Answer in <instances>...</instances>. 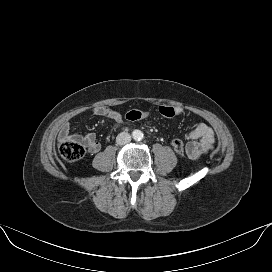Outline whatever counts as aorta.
I'll list each match as a JSON object with an SVG mask.
<instances>
[{
  "label": "aorta",
  "mask_w": 272,
  "mask_h": 272,
  "mask_svg": "<svg viewBox=\"0 0 272 272\" xmlns=\"http://www.w3.org/2000/svg\"><path fill=\"white\" fill-rule=\"evenodd\" d=\"M132 137L135 140H141L143 137V133L140 130L136 129L132 132Z\"/></svg>",
  "instance_id": "762f6f07"
}]
</instances>
